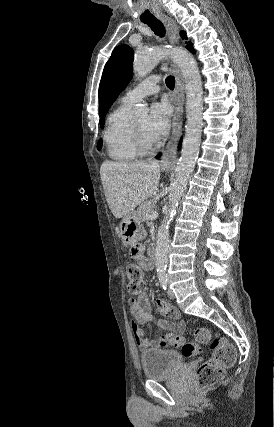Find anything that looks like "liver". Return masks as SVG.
<instances>
[{
  "label": "liver",
  "mask_w": 274,
  "mask_h": 427,
  "mask_svg": "<svg viewBox=\"0 0 274 427\" xmlns=\"http://www.w3.org/2000/svg\"><path fill=\"white\" fill-rule=\"evenodd\" d=\"M100 176L108 206L115 217L135 212L153 196L160 180V164L148 162H103Z\"/></svg>",
  "instance_id": "1"
}]
</instances>
